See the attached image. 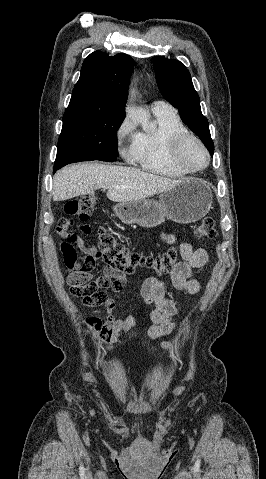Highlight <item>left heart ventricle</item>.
<instances>
[{"label":"left heart ventricle","mask_w":266,"mask_h":479,"mask_svg":"<svg viewBox=\"0 0 266 479\" xmlns=\"http://www.w3.org/2000/svg\"><path fill=\"white\" fill-rule=\"evenodd\" d=\"M184 162L191 168L200 167L205 162L202 150L195 143L188 144L182 153Z\"/></svg>","instance_id":"b2bd125f"}]
</instances>
